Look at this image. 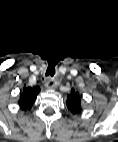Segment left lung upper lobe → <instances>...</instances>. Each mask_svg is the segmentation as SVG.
Segmentation results:
<instances>
[{
	"mask_svg": "<svg viewBox=\"0 0 118 142\" xmlns=\"http://www.w3.org/2000/svg\"><path fill=\"white\" fill-rule=\"evenodd\" d=\"M67 107L73 114L81 111V97L74 89H71V94L67 95Z\"/></svg>",
	"mask_w": 118,
	"mask_h": 142,
	"instance_id": "5c2ea615",
	"label": "left lung upper lobe"
}]
</instances>
